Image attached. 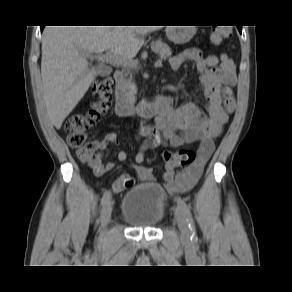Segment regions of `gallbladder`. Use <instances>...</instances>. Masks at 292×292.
Masks as SVG:
<instances>
[{
    "label": "gallbladder",
    "instance_id": "bac80fb5",
    "mask_svg": "<svg viewBox=\"0 0 292 292\" xmlns=\"http://www.w3.org/2000/svg\"><path fill=\"white\" fill-rule=\"evenodd\" d=\"M96 71H97V73H98L99 75H102V76L108 74V70H107V68H106L105 66H102V65H98V66L96 67Z\"/></svg>",
    "mask_w": 292,
    "mask_h": 292
}]
</instances>
